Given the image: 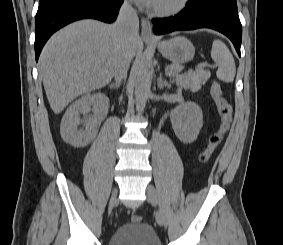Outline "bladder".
<instances>
[{
  "label": "bladder",
  "mask_w": 283,
  "mask_h": 245,
  "mask_svg": "<svg viewBox=\"0 0 283 245\" xmlns=\"http://www.w3.org/2000/svg\"><path fill=\"white\" fill-rule=\"evenodd\" d=\"M108 245H162L154 228L147 223H126L110 236Z\"/></svg>",
  "instance_id": "31cf9c89"
}]
</instances>
